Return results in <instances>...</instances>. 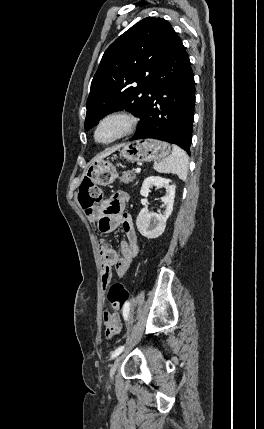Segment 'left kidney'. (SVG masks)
I'll return each instance as SVG.
<instances>
[{
    "label": "left kidney",
    "mask_w": 264,
    "mask_h": 429,
    "mask_svg": "<svg viewBox=\"0 0 264 429\" xmlns=\"http://www.w3.org/2000/svg\"><path fill=\"white\" fill-rule=\"evenodd\" d=\"M171 181L159 176L147 177L141 187L140 194L143 197L148 196L149 189L152 186L158 188L164 187L166 194L161 198L162 202L166 205V210L163 214L149 212L143 208L136 219L137 229L140 234L148 239H154L162 235L166 228V221L173 211L175 185L170 184Z\"/></svg>",
    "instance_id": "obj_1"
}]
</instances>
